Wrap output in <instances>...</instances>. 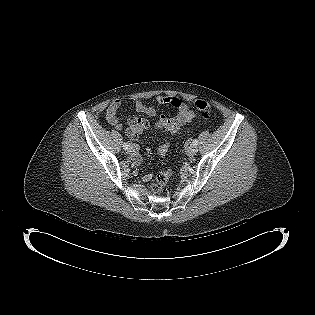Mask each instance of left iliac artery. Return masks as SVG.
Returning a JSON list of instances; mask_svg holds the SVG:
<instances>
[{"label":"left iliac artery","mask_w":315,"mask_h":315,"mask_svg":"<svg viewBox=\"0 0 315 315\" xmlns=\"http://www.w3.org/2000/svg\"><path fill=\"white\" fill-rule=\"evenodd\" d=\"M193 145H198V140L197 139L193 140Z\"/></svg>","instance_id":"1"}]
</instances>
